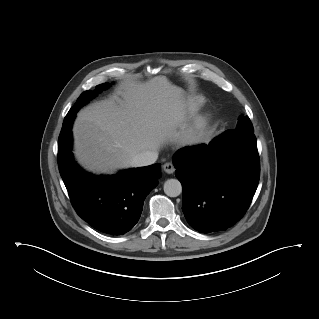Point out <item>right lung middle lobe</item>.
Masks as SVG:
<instances>
[{"label": "right lung middle lobe", "mask_w": 319, "mask_h": 319, "mask_svg": "<svg viewBox=\"0 0 319 319\" xmlns=\"http://www.w3.org/2000/svg\"><path fill=\"white\" fill-rule=\"evenodd\" d=\"M109 86H110L109 83L100 84L96 86V89L94 91H90V90L85 91L83 94L80 95L74 107H72L69 110L68 114L66 115L64 119L59 139L65 137L71 131L72 123L78 110L83 105H85L90 99L94 98L97 94L101 93L103 90L107 89Z\"/></svg>", "instance_id": "1"}]
</instances>
